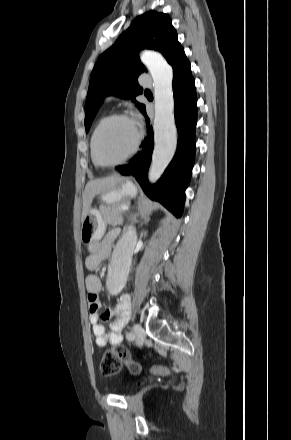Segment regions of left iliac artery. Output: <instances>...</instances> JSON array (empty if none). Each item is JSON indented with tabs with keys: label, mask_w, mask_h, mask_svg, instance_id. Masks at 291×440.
<instances>
[{
	"label": "left iliac artery",
	"mask_w": 291,
	"mask_h": 440,
	"mask_svg": "<svg viewBox=\"0 0 291 440\" xmlns=\"http://www.w3.org/2000/svg\"><path fill=\"white\" fill-rule=\"evenodd\" d=\"M126 338H127L128 340H133V339H134V335H133L132 333H130V332H127V333H126Z\"/></svg>",
	"instance_id": "44dca946"
}]
</instances>
